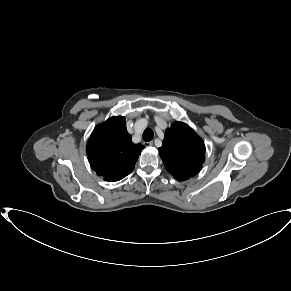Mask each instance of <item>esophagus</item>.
Returning a JSON list of instances; mask_svg holds the SVG:
<instances>
[{
  "mask_svg": "<svg viewBox=\"0 0 291 291\" xmlns=\"http://www.w3.org/2000/svg\"><path fill=\"white\" fill-rule=\"evenodd\" d=\"M146 147H150L153 145V142L152 141H148V142H144L143 143Z\"/></svg>",
  "mask_w": 291,
  "mask_h": 291,
  "instance_id": "1",
  "label": "esophagus"
}]
</instances>
